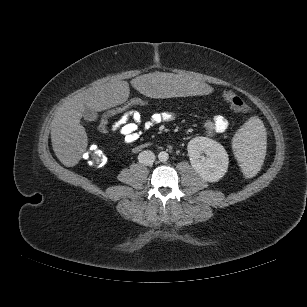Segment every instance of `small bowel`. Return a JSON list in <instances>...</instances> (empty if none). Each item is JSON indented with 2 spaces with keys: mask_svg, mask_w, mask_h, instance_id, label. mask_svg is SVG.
<instances>
[{
  "mask_svg": "<svg viewBox=\"0 0 307 307\" xmlns=\"http://www.w3.org/2000/svg\"><path fill=\"white\" fill-rule=\"evenodd\" d=\"M175 115L170 111L154 112L148 118L135 110L112 124V132L118 133L127 144L137 142L144 133L174 121ZM228 120L222 115H216L204 123L206 132L210 135L223 133L228 129Z\"/></svg>",
  "mask_w": 307,
  "mask_h": 307,
  "instance_id": "c3829d8e",
  "label": "small bowel"
}]
</instances>
